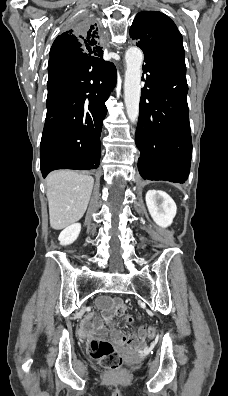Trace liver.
Instances as JSON below:
<instances>
[{
  "mask_svg": "<svg viewBox=\"0 0 228 396\" xmlns=\"http://www.w3.org/2000/svg\"><path fill=\"white\" fill-rule=\"evenodd\" d=\"M94 179L70 170H59L47 178L50 226L61 230L79 221L88 206Z\"/></svg>",
  "mask_w": 228,
  "mask_h": 396,
  "instance_id": "1",
  "label": "liver"
}]
</instances>
